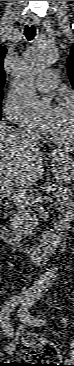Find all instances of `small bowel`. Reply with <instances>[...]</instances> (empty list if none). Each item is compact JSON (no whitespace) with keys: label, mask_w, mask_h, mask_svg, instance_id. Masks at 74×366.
Wrapping results in <instances>:
<instances>
[{"label":"small bowel","mask_w":74,"mask_h":366,"mask_svg":"<svg viewBox=\"0 0 74 366\" xmlns=\"http://www.w3.org/2000/svg\"><path fill=\"white\" fill-rule=\"evenodd\" d=\"M55 278V271L49 270L44 277L41 278V284L49 285Z\"/></svg>","instance_id":"small-bowel-1"}]
</instances>
